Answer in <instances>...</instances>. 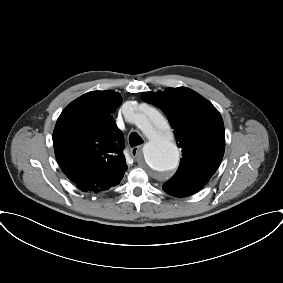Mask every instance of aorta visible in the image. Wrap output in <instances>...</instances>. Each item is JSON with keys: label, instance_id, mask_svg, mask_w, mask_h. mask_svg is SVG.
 I'll return each instance as SVG.
<instances>
[{"label": "aorta", "instance_id": "obj_1", "mask_svg": "<svg viewBox=\"0 0 283 283\" xmlns=\"http://www.w3.org/2000/svg\"><path fill=\"white\" fill-rule=\"evenodd\" d=\"M125 116L148 139L143 147L148 167L159 174L174 170L179 162V150L164 117L152 107L131 111Z\"/></svg>", "mask_w": 283, "mask_h": 283}]
</instances>
